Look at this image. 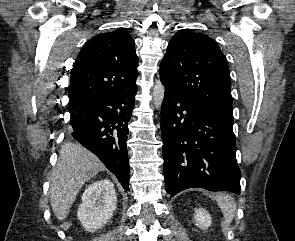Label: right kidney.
Masks as SVG:
<instances>
[{
    "mask_svg": "<svg viewBox=\"0 0 295 241\" xmlns=\"http://www.w3.org/2000/svg\"><path fill=\"white\" fill-rule=\"evenodd\" d=\"M116 205L114 184L109 179H101L85 189L77 216L84 229L93 232L111 219Z\"/></svg>",
    "mask_w": 295,
    "mask_h": 241,
    "instance_id": "right-kidney-1",
    "label": "right kidney"
}]
</instances>
